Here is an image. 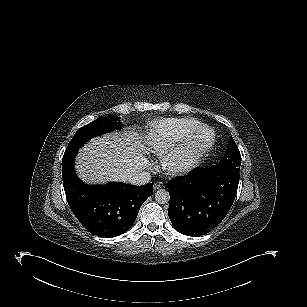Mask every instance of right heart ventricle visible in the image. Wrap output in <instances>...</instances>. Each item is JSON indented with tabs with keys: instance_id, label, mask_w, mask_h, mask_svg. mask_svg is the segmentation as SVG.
<instances>
[{
	"instance_id": "obj_1",
	"label": "right heart ventricle",
	"mask_w": 307,
	"mask_h": 307,
	"mask_svg": "<svg viewBox=\"0 0 307 307\" xmlns=\"http://www.w3.org/2000/svg\"><path fill=\"white\" fill-rule=\"evenodd\" d=\"M196 127V121L191 118L161 120L150 134V145L156 153L165 154L191 138L198 129Z\"/></svg>"
}]
</instances>
